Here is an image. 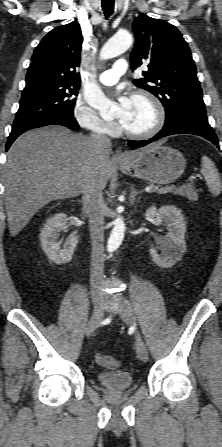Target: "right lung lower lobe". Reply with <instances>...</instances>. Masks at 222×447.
Listing matches in <instances>:
<instances>
[{
	"mask_svg": "<svg viewBox=\"0 0 222 447\" xmlns=\"http://www.w3.org/2000/svg\"><path fill=\"white\" fill-rule=\"evenodd\" d=\"M47 125H63L70 129H76L79 127L73 115L60 114L42 119L38 122H33L17 128H12L11 134L8 137L6 151L9 149L13 141L22 133L33 128L43 127Z\"/></svg>",
	"mask_w": 222,
	"mask_h": 447,
	"instance_id": "1",
	"label": "right lung lower lobe"
}]
</instances>
